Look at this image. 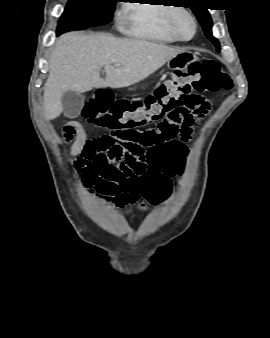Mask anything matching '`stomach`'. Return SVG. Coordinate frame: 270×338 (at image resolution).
Returning <instances> with one entry per match:
<instances>
[{"label":"stomach","mask_w":270,"mask_h":338,"mask_svg":"<svg viewBox=\"0 0 270 338\" xmlns=\"http://www.w3.org/2000/svg\"><path fill=\"white\" fill-rule=\"evenodd\" d=\"M197 57L194 53L190 51H184L177 54L175 57L171 58L167 66L172 71H183L189 64L196 61Z\"/></svg>","instance_id":"1"}]
</instances>
